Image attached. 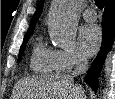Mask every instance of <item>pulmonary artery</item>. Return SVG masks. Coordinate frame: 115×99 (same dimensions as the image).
Returning <instances> with one entry per match:
<instances>
[{"label":"pulmonary artery","instance_id":"obj_1","mask_svg":"<svg viewBox=\"0 0 115 99\" xmlns=\"http://www.w3.org/2000/svg\"><path fill=\"white\" fill-rule=\"evenodd\" d=\"M83 17L85 20L90 22L95 21L97 19L96 12L91 8H87L84 10Z\"/></svg>","mask_w":115,"mask_h":99}]
</instances>
